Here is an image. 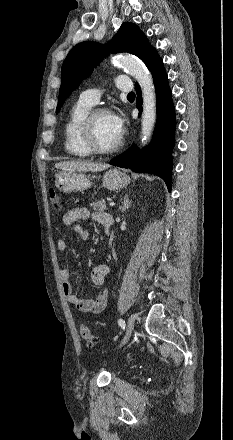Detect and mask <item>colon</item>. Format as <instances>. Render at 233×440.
I'll list each match as a JSON object with an SVG mask.
<instances>
[{
    "mask_svg": "<svg viewBox=\"0 0 233 440\" xmlns=\"http://www.w3.org/2000/svg\"><path fill=\"white\" fill-rule=\"evenodd\" d=\"M49 196L53 209L55 211H59L61 209V201L54 189L51 188L49 190ZM80 334L89 347H94L97 345V339L92 335L87 325L81 324Z\"/></svg>",
    "mask_w": 233,
    "mask_h": 440,
    "instance_id": "obj_1",
    "label": "colon"
}]
</instances>
